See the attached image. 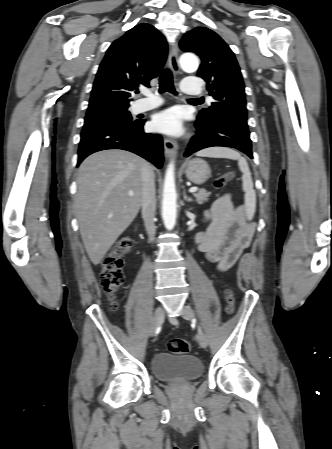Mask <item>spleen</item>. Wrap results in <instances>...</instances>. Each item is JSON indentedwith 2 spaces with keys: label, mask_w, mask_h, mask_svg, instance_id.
Returning a JSON list of instances; mask_svg holds the SVG:
<instances>
[{
  "label": "spleen",
  "mask_w": 332,
  "mask_h": 449,
  "mask_svg": "<svg viewBox=\"0 0 332 449\" xmlns=\"http://www.w3.org/2000/svg\"><path fill=\"white\" fill-rule=\"evenodd\" d=\"M197 156L202 157H213V158H227L238 161V166L240 171L242 172V188L245 192L244 202L247 219L251 220L256 211V193L253 189V181L251 177V172L248 166V163L245 158L241 157V155L229 148L223 147H213L209 149L202 150L197 153Z\"/></svg>",
  "instance_id": "obj_1"
}]
</instances>
